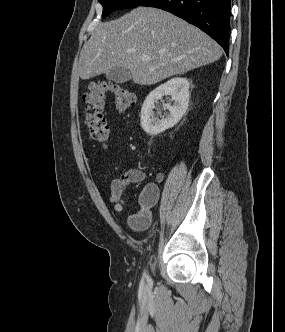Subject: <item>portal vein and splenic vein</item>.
<instances>
[{
	"instance_id": "1",
	"label": "portal vein and splenic vein",
	"mask_w": 285,
	"mask_h": 332,
	"mask_svg": "<svg viewBox=\"0 0 285 332\" xmlns=\"http://www.w3.org/2000/svg\"><path fill=\"white\" fill-rule=\"evenodd\" d=\"M142 60H143V61H148V60H149V57H148V56H144V57L142 58Z\"/></svg>"
}]
</instances>
